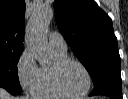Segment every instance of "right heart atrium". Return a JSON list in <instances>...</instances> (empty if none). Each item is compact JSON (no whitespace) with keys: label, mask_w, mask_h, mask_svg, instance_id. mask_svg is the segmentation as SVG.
<instances>
[{"label":"right heart atrium","mask_w":128,"mask_h":99,"mask_svg":"<svg viewBox=\"0 0 128 99\" xmlns=\"http://www.w3.org/2000/svg\"><path fill=\"white\" fill-rule=\"evenodd\" d=\"M16 69L18 81L22 89L28 92H33L39 79L40 68L30 50L25 49L21 53Z\"/></svg>","instance_id":"obj_1"}]
</instances>
